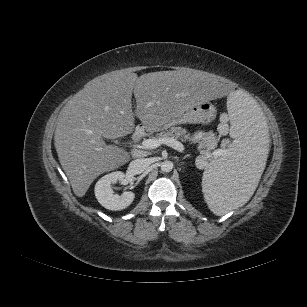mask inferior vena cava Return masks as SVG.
Here are the masks:
<instances>
[{
	"instance_id": "inferior-vena-cava-1",
	"label": "inferior vena cava",
	"mask_w": 307,
	"mask_h": 307,
	"mask_svg": "<svg viewBox=\"0 0 307 307\" xmlns=\"http://www.w3.org/2000/svg\"><path fill=\"white\" fill-rule=\"evenodd\" d=\"M150 165V161L147 158H138L130 162L128 171L133 174H140L145 171Z\"/></svg>"
}]
</instances>
